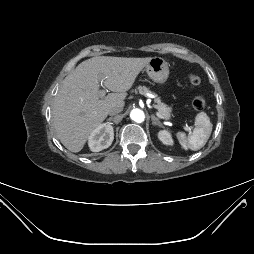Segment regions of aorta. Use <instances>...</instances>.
<instances>
[{
  "mask_svg": "<svg viewBox=\"0 0 254 254\" xmlns=\"http://www.w3.org/2000/svg\"><path fill=\"white\" fill-rule=\"evenodd\" d=\"M130 117L133 121L141 123L145 119L144 112L140 109H133L130 113Z\"/></svg>",
  "mask_w": 254,
  "mask_h": 254,
  "instance_id": "1",
  "label": "aorta"
}]
</instances>
